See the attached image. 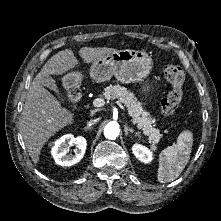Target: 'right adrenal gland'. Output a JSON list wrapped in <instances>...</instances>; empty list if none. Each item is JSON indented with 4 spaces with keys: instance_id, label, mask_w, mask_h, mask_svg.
<instances>
[{
    "instance_id": "right-adrenal-gland-1",
    "label": "right adrenal gland",
    "mask_w": 221,
    "mask_h": 221,
    "mask_svg": "<svg viewBox=\"0 0 221 221\" xmlns=\"http://www.w3.org/2000/svg\"><path fill=\"white\" fill-rule=\"evenodd\" d=\"M84 129L85 130H92L93 128L87 126V127H84Z\"/></svg>"
}]
</instances>
